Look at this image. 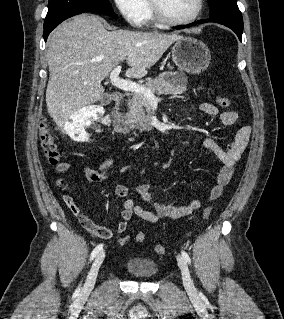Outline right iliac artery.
Returning a JSON list of instances; mask_svg holds the SVG:
<instances>
[{"instance_id":"obj_1","label":"right iliac artery","mask_w":284,"mask_h":319,"mask_svg":"<svg viewBox=\"0 0 284 319\" xmlns=\"http://www.w3.org/2000/svg\"><path fill=\"white\" fill-rule=\"evenodd\" d=\"M103 249V244H99L97 245L94 250L92 251L91 253V256H90V261L94 259V257L99 253L101 252V250ZM80 291V287L77 288L76 290V294H78Z\"/></svg>"}]
</instances>
